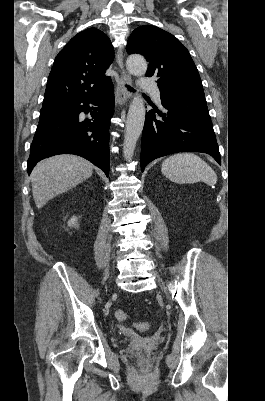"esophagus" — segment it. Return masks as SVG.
<instances>
[{
    "label": "esophagus",
    "instance_id": "1",
    "mask_svg": "<svg viewBox=\"0 0 265 401\" xmlns=\"http://www.w3.org/2000/svg\"><path fill=\"white\" fill-rule=\"evenodd\" d=\"M116 61L121 71L120 82L116 92V103L119 106H122L123 104H125V102H127L131 98V92L128 90L127 86H130L132 83L131 76L128 75L124 70L122 47H119L118 49Z\"/></svg>",
    "mask_w": 265,
    "mask_h": 401
}]
</instances>
